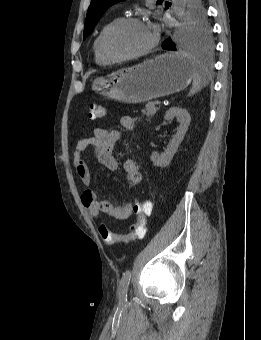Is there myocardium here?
Here are the masks:
<instances>
[{
    "label": "myocardium",
    "mask_w": 261,
    "mask_h": 340,
    "mask_svg": "<svg viewBox=\"0 0 261 340\" xmlns=\"http://www.w3.org/2000/svg\"><path fill=\"white\" fill-rule=\"evenodd\" d=\"M129 23H138V24H142L144 26H146L151 34V40L149 42V44L143 48L142 50L133 53V54H129V55H117L114 54L113 52H111L109 50L108 47V41L110 36L120 27L129 24ZM158 34L153 31L150 27H148L140 18L136 17V16H126V17H122L119 18L117 20H115L103 33L102 37H101V41H100V47H101V51L104 54L105 57H107L108 59L114 61V62H122V61H128V60H132V59H136L139 58L141 56L146 55L147 53H149L158 43Z\"/></svg>",
    "instance_id": "myocardium-1"
}]
</instances>
